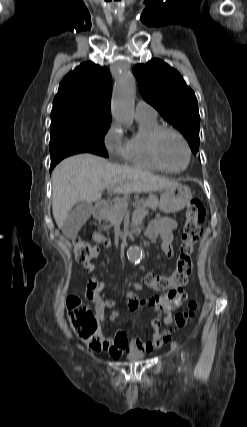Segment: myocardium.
<instances>
[{"instance_id":"1","label":"myocardium","mask_w":247,"mask_h":427,"mask_svg":"<svg viewBox=\"0 0 247 427\" xmlns=\"http://www.w3.org/2000/svg\"><path fill=\"white\" fill-rule=\"evenodd\" d=\"M166 133H172V134L176 135L182 141V143L186 149L187 161H186L184 167H182L181 169H177V170L171 169L170 167L166 166L161 159V156L159 153V143H160L162 136ZM150 151H151V155H152L154 161L157 163V165L163 171L170 172V173H180V172L185 171L187 169V167L189 166L190 161H191V157H192L191 147H190L186 137L178 129H176L174 127H170V126H161L160 128H158L153 133V135L150 139Z\"/></svg>"}]
</instances>
